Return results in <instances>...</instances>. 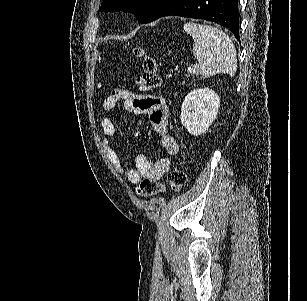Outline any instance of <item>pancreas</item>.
I'll return each mask as SVG.
<instances>
[{"instance_id":"obj_1","label":"pancreas","mask_w":307,"mask_h":301,"mask_svg":"<svg viewBox=\"0 0 307 301\" xmlns=\"http://www.w3.org/2000/svg\"><path fill=\"white\" fill-rule=\"evenodd\" d=\"M190 70H192V68H190ZM190 70H189V72H190ZM187 76H188V74H187ZM185 82H186V80H182V84H185Z\"/></svg>"}]
</instances>
